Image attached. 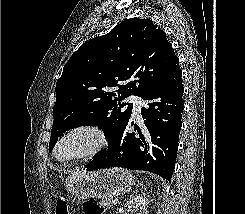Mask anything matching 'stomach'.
Wrapping results in <instances>:
<instances>
[{"mask_svg":"<svg viewBox=\"0 0 245 214\" xmlns=\"http://www.w3.org/2000/svg\"><path fill=\"white\" fill-rule=\"evenodd\" d=\"M134 184L133 175L123 168H109L85 173L75 172L67 179L68 191L78 199L108 198L128 192Z\"/></svg>","mask_w":245,"mask_h":214,"instance_id":"0dacf381","label":"stomach"}]
</instances>
